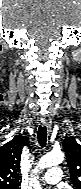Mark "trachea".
<instances>
[{
    "label": "trachea",
    "instance_id": "3493384b",
    "mask_svg": "<svg viewBox=\"0 0 81 189\" xmlns=\"http://www.w3.org/2000/svg\"><path fill=\"white\" fill-rule=\"evenodd\" d=\"M37 139L41 147H45L47 141V128L40 126L37 132Z\"/></svg>",
    "mask_w": 81,
    "mask_h": 189
}]
</instances>
